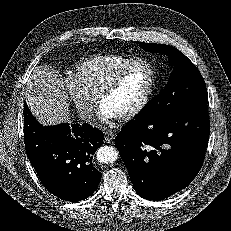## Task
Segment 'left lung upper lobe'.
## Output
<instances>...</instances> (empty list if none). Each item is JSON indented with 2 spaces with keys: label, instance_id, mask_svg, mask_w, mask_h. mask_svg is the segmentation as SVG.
Returning a JSON list of instances; mask_svg holds the SVG:
<instances>
[{
  "label": "left lung upper lobe",
  "instance_id": "1",
  "mask_svg": "<svg viewBox=\"0 0 231 231\" xmlns=\"http://www.w3.org/2000/svg\"><path fill=\"white\" fill-rule=\"evenodd\" d=\"M137 43L144 50L167 55L174 70L166 87L135 119L157 120L189 107L208 104L204 79L196 66L182 52L165 44Z\"/></svg>",
  "mask_w": 231,
  "mask_h": 231
}]
</instances>
